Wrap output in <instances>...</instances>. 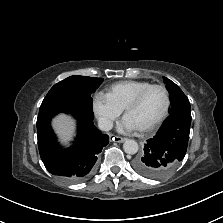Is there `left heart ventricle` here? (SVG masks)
<instances>
[{
	"label": "left heart ventricle",
	"instance_id": "1",
	"mask_svg": "<svg viewBox=\"0 0 223 223\" xmlns=\"http://www.w3.org/2000/svg\"><path fill=\"white\" fill-rule=\"evenodd\" d=\"M165 105V93L159 88H154L143 97L138 106L126 114V117L139 129L155 122L164 111Z\"/></svg>",
	"mask_w": 223,
	"mask_h": 223
}]
</instances>
